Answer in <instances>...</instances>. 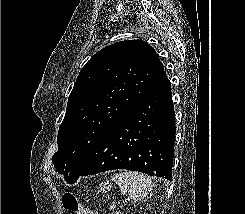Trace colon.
<instances>
[{
  "label": "colon",
  "instance_id": "colon-1",
  "mask_svg": "<svg viewBox=\"0 0 245 214\" xmlns=\"http://www.w3.org/2000/svg\"><path fill=\"white\" fill-rule=\"evenodd\" d=\"M63 206L66 210L76 214H97L95 211L81 205L74 194L66 193L62 199ZM111 214H123L120 211H114Z\"/></svg>",
  "mask_w": 245,
  "mask_h": 214
}]
</instances>
